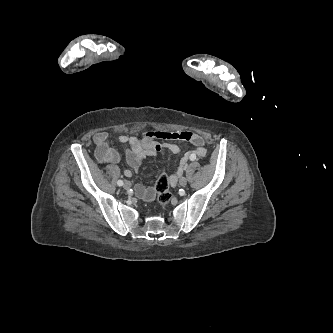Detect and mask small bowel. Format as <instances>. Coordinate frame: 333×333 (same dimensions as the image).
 I'll return each mask as SVG.
<instances>
[{
    "instance_id": "obj_1",
    "label": "small bowel",
    "mask_w": 333,
    "mask_h": 333,
    "mask_svg": "<svg viewBox=\"0 0 333 333\" xmlns=\"http://www.w3.org/2000/svg\"><path fill=\"white\" fill-rule=\"evenodd\" d=\"M172 140L189 141L196 146V149L184 154L178 169L170 177V184L175 186L179 176L187 167L188 162L201 158L206 154L203 137L190 131H152L145 133L141 139L135 136L121 135L118 141L128 147L126 150V160L131 167V169L124 170V174L127 177H131L139 169L146 156L157 155L164 149L178 153L180 149L176 144L170 142ZM93 142L95 144V156L99 163L115 164L119 162L120 157L118 152L109 147L108 134L106 132L95 133ZM135 192L138 197L146 201H150L154 197L153 190L142 185H138Z\"/></svg>"
}]
</instances>
